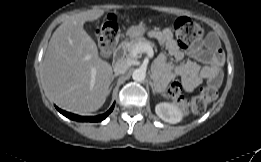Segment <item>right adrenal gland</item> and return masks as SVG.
Instances as JSON below:
<instances>
[{"label":"right adrenal gland","instance_id":"right-adrenal-gland-1","mask_svg":"<svg viewBox=\"0 0 261 162\" xmlns=\"http://www.w3.org/2000/svg\"><path fill=\"white\" fill-rule=\"evenodd\" d=\"M117 76H119V74H114V75L112 76V78H111V82H113V81H114V78H116ZM112 87H113V84H111V86H110V88H109L108 94H110V92H111V90H112Z\"/></svg>","mask_w":261,"mask_h":162}]
</instances>
